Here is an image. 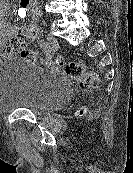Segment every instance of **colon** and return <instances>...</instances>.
<instances>
[{"instance_id":"obj_1","label":"colon","mask_w":133,"mask_h":173,"mask_svg":"<svg viewBox=\"0 0 133 173\" xmlns=\"http://www.w3.org/2000/svg\"><path fill=\"white\" fill-rule=\"evenodd\" d=\"M23 44L24 42L22 39L12 38L0 49V54L13 55L20 52L23 58L31 61L43 60L48 66L53 68H62L64 66L60 58H44L35 52L23 51ZM65 72L82 90H91L99 85L97 74L94 71L87 70L79 63L67 64L65 66Z\"/></svg>"}]
</instances>
